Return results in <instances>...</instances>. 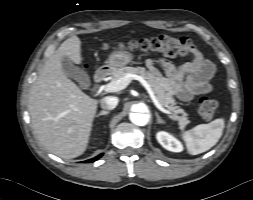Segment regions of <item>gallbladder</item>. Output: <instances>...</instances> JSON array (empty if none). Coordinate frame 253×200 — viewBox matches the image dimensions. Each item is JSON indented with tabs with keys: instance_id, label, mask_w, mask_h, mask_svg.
I'll return each mask as SVG.
<instances>
[{
	"instance_id": "1",
	"label": "gallbladder",
	"mask_w": 253,
	"mask_h": 200,
	"mask_svg": "<svg viewBox=\"0 0 253 200\" xmlns=\"http://www.w3.org/2000/svg\"><path fill=\"white\" fill-rule=\"evenodd\" d=\"M61 64L65 74L68 77L78 81L81 87H86L87 85H89L90 80L87 73L76 67L68 57H63L61 60Z\"/></svg>"
}]
</instances>
